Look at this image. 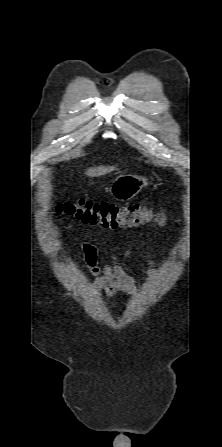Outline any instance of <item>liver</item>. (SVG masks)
Here are the masks:
<instances>
[{"mask_svg":"<svg viewBox=\"0 0 222 447\" xmlns=\"http://www.w3.org/2000/svg\"><path fill=\"white\" fill-rule=\"evenodd\" d=\"M115 169L116 168L113 166L112 167H107V166L93 167V168H89L86 171V175L89 177L101 176V175L110 173V172L114 171Z\"/></svg>","mask_w":222,"mask_h":447,"instance_id":"6515ba94","label":"liver"}]
</instances>
